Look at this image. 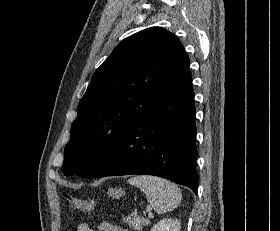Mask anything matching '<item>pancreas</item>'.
<instances>
[{"label":"pancreas","mask_w":280,"mask_h":231,"mask_svg":"<svg viewBox=\"0 0 280 231\" xmlns=\"http://www.w3.org/2000/svg\"><path fill=\"white\" fill-rule=\"evenodd\" d=\"M124 223H128L129 227H133V229H139L141 231L143 225H148L150 223L149 217H137V215H128V217H124Z\"/></svg>","instance_id":"obj_1"}]
</instances>
